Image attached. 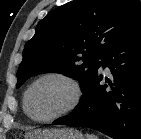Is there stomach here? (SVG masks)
Returning a JSON list of instances; mask_svg holds the SVG:
<instances>
[{
    "label": "stomach",
    "mask_w": 141,
    "mask_h": 139,
    "mask_svg": "<svg viewBox=\"0 0 141 139\" xmlns=\"http://www.w3.org/2000/svg\"><path fill=\"white\" fill-rule=\"evenodd\" d=\"M24 139H85L81 132L74 128H52L35 130L24 136Z\"/></svg>",
    "instance_id": "obj_1"
}]
</instances>
